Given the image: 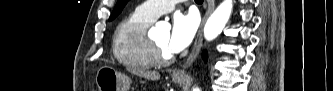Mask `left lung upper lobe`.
Returning a JSON list of instances; mask_svg holds the SVG:
<instances>
[{"instance_id":"5c2ea615","label":"left lung upper lobe","mask_w":333,"mask_h":91,"mask_svg":"<svg viewBox=\"0 0 333 91\" xmlns=\"http://www.w3.org/2000/svg\"><path fill=\"white\" fill-rule=\"evenodd\" d=\"M128 2V0H118L117 4L109 18V21L113 20L118 14L122 11L125 4Z\"/></svg>"}]
</instances>
